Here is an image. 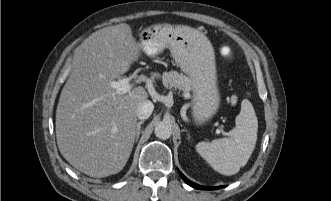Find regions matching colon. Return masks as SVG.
<instances>
[{
  "label": "colon",
  "mask_w": 331,
  "mask_h": 201,
  "mask_svg": "<svg viewBox=\"0 0 331 201\" xmlns=\"http://www.w3.org/2000/svg\"><path fill=\"white\" fill-rule=\"evenodd\" d=\"M221 52L224 56H230L231 54V51L228 47H224Z\"/></svg>",
  "instance_id": "colon-1"
}]
</instances>
